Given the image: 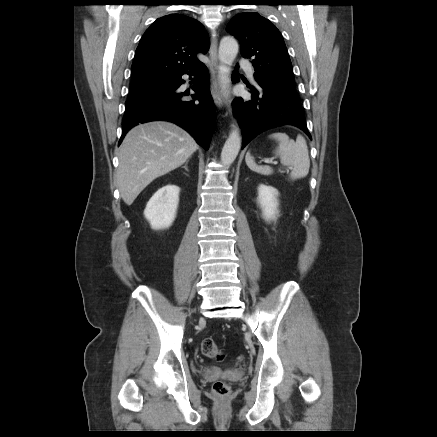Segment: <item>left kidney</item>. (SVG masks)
<instances>
[{
  "mask_svg": "<svg viewBox=\"0 0 437 437\" xmlns=\"http://www.w3.org/2000/svg\"><path fill=\"white\" fill-rule=\"evenodd\" d=\"M278 190L272 186L260 184L258 187V204L266 221L275 220L278 215Z\"/></svg>",
  "mask_w": 437,
  "mask_h": 437,
  "instance_id": "5707ae66",
  "label": "left kidney"
}]
</instances>
